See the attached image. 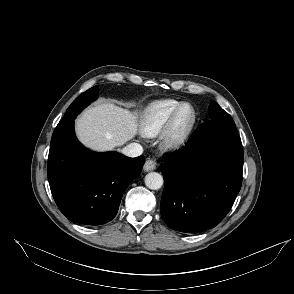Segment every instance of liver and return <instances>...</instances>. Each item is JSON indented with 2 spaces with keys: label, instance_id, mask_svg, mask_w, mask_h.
Wrapping results in <instances>:
<instances>
[{
  "label": "liver",
  "instance_id": "1",
  "mask_svg": "<svg viewBox=\"0 0 294 294\" xmlns=\"http://www.w3.org/2000/svg\"><path fill=\"white\" fill-rule=\"evenodd\" d=\"M137 132V114L112 103L90 107L76 120L78 139L94 151L112 150L132 139Z\"/></svg>",
  "mask_w": 294,
  "mask_h": 294
}]
</instances>
